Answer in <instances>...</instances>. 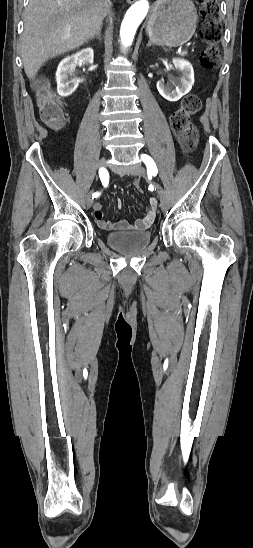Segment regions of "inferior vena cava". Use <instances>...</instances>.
<instances>
[{
	"instance_id": "inferior-vena-cava-1",
	"label": "inferior vena cava",
	"mask_w": 253,
	"mask_h": 548,
	"mask_svg": "<svg viewBox=\"0 0 253 548\" xmlns=\"http://www.w3.org/2000/svg\"><path fill=\"white\" fill-rule=\"evenodd\" d=\"M108 7H109V10H110V8H111V3H110V1H108Z\"/></svg>"
}]
</instances>
